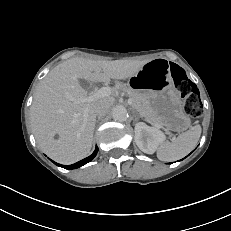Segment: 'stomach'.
Segmentation results:
<instances>
[{"mask_svg": "<svg viewBox=\"0 0 231 231\" xmlns=\"http://www.w3.org/2000/svg\"><path fill=\"white\" fill-rule=\"evenodd\" d=\"M131 86L149 101L159 123L168 131L182 132L189 128L191 119L173 85L167 60L153 59L144 64L132 76Z\"/></svg>", "mask_w": 231, "mask_h": 231, "instance_id": "obj_1", "label": "stomach"}]
</instances>
